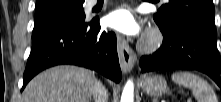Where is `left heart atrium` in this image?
I'll list each match as a JSON object with an SVG mask.
<instances>
[{
	"label": "left heart atrium",
	"instance_id": "left-heart-atrium-1",
	"mask_svg": "<svg viewBox=\"0 0 221 102\" xmlns=\"http://www.w3.org/2000/svg\"><path fill=\"white\" fill-rule=\"evenodd\" d=\"M106 24L126 35H137L141 32V25L133 11L127 7H120L109 13Z\"/></svg>",
	"mask_w": 221,
	"mask_h": 102
}]
</instances>
